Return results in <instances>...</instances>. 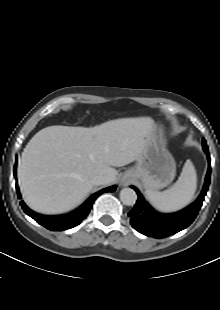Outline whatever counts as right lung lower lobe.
<instances>
[{
  "mask_svg": "<svg viewBox=\"0 0 220 310\" xmlns=\"http://www.w3.org/2000/svg\"><path fill=\"white\" fill-rule=\"evenodd\" d=\"M14 176H16V166H14ZM115 189H116L115 186H111L98 191L97 193L90 196L78 209L65 215H57V216L41 215L29 209L23 201L20 202V205L27 215L32 217L36 222H38L45 228L51 231L66 230L79 225L82 222V220L86 218V216L90 212V209L92 208L94 201L99 195L105 192H113ZM16 190L18 198L21 199L17 183H16Z\"/></svg>",
  "mask_w": 220,
  "mask_h": 310,
  "instance_id": "98d812e1",
  "label": "right lung lower lobe"
}]
</instances>
